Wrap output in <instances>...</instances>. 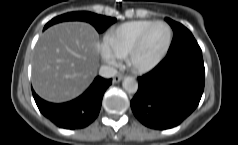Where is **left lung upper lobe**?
<instances>
[{"instance_id":"left-lung-upper-lobe-1","label":"left lung upper lobe","mask_w":238,"mask_h":145,"mask_svg":"<svg viewBox=\"0 0 238 145\" xmlns=\"http://www.w3.org/2000/svg\"><path fill=\"white\" fill-rule=\"evenodd\" d=\"M166 21L170 24V22L172 21L171 19L169 18H166ZM195 38L193 37L192 33L191 32H188V36L187 38L183 39V40H174L173 38V41L171 43V46H170V49L169 50H173L185 43H188V42H195Z\"/></svg>"}]
</instances>
